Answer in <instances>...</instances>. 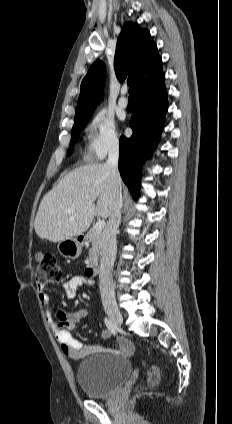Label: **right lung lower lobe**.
<instances>
[{"label":"right lung lower lobe","instance_id":"1","mask_svg":"<svg viewBox=\"0 0 232 424\" xmlns=\"http://www.w3.org/2000/svg\"><path fill=\"white\" fill-rule=\"evenodd\" d=\"M164 73L150 88L135 94L136 109L129 122L130 138L121 136L119 171L135 199L138 198L141 167L158 144L168 108Z\"/></svg>","mask_w":232,"mask_h":424}]
</instances>
